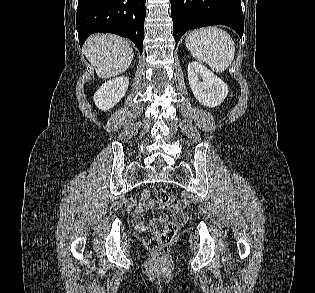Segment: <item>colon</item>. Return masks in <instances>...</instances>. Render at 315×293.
<instances>
[{
    "label": "colon",
    "instance_id": "obj_1",
    "mask_svg": "<svg viewBox=\"0 0 315 293\" xmlns=\"http://www.w3.org/2000/svg\"><path fill=\"white\" fill-rule=\"evenodd\" d=\"M156 202L169 205L175 211V220L166 221L162 230H155L154 235L149 241V249L158 259H166L169 252V246L177 233V223L183 222L186 215L183 212L182 205L178 199L172 197L165 189H159L155 193Z\"/></svg>",
    "mask_w": 315,
    "mask_h": 293
}]
</instances>
